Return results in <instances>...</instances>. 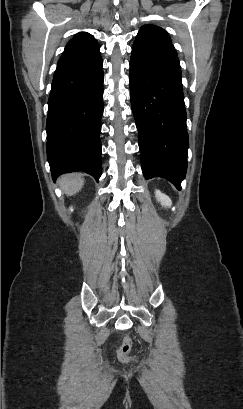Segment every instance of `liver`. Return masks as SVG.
Returning <instances> with one entry per match:
<instances>
[{
	"mask_svg": "<svg viewBox=\"0 0 243 409\" xmlns=\"http://www.w3.org/2000/svg\"><path fill=\"white\" fill-rule=\"evenodd\" d=\"M58 184L68 196H72L81 190L84 184L83 175L80 173L63 175L58 179Z\"/></svg>",
	"mask_w": 243,
	"mask_h": 409,
	"instance_id": "6515ba94",
	"label": "liver"
}]
</instances>
